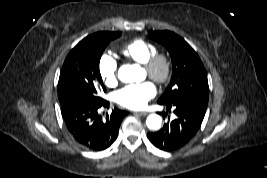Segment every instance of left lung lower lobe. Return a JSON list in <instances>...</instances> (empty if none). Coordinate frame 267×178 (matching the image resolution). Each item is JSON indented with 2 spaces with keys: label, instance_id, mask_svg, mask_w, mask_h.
<instances>
[{
  "label": "left lung lower lobe",
  "instance_id": "1",
  "mask_svg": "<svg viewBox=\"0 0 267 178\" xmlns=\"http://www.w3.org/2000/svg\"><path fill=\"white\" fill-rule=\"evenodd\" d=\"M168 111L175 114L173 120L164 124L158 132L148 133L151 143L164 151H173L185 146L198 132L201 127L205 110L181 103L164 104ZM164 116L165 114L162 113Z\"/></svg>",
  "mask_w": 267,
  "mask_h": 178
}]
</instances>
